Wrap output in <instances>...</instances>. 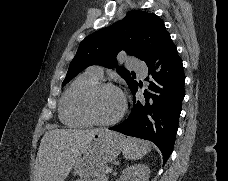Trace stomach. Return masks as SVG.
Instances as JSON below:
<instances>
[{
  "label": "stomach",
  "instance_id": "stomach-1",
  "mask_svg": "<svg viewBox=\"0 0 228 181\" xmlns=\"http://www.w3.org/2000/svg\"><path fill=\"white\" fill-rule=\"evenodd\" d=\"M124 141L123 135L111 133L108 129L95 133L86 149L79 153L73 165L74 175H79L80 179L101 181L99 171L104 169L106 163L116 159Z\"/></svg>",
  "mask_w": 228,
  "mask_h": 181
}]
</instances>
